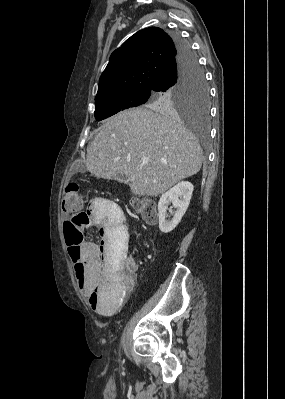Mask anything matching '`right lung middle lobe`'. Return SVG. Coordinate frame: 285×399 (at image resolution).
Instances as JSON below:
<instances>
[{
    "mask_svg": "<svg viewBox=\"0 0 285 399\" xmlns=\"http://www.w3.org/2000/svg\"><path fill=\"white\" fill-rule=\"evenodd\" d=\"M95 103L97 121L140 105L166 114L178 111L203 124L209 116L208 86L197 62L185 71L176 85L163 91L131 89L99 97Z\"/></svg>",
    "mask_w": 285,
    "mask_h": 399,
    "instance_id": "obj_1",
    "label": "right lung middle lobe"
}]
</instances>
